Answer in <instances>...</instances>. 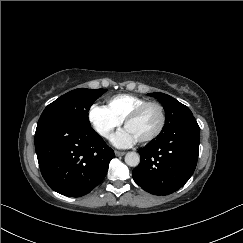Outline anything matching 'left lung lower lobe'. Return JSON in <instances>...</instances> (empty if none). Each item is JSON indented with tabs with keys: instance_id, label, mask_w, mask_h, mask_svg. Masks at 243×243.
Instances as JSON below:
<instances>
[{
	"instance_id": "1",
	"label": "left lung lower lobe",
	"mask_w": 243,
	"mask_h": 243,
	"mask_svg": "<svg viewBox=\"0 0 243 243\" xmlns=\"http://www.w3.org/2000/svg\"><path fill=\"white\" fill-rule=\"evenodd\" d=\"M199 143L200 128L194 117L161 132L139 150L141 161L132 171L134 181L151 194L175 192L195 170Z\"/></svg>"
}]
</instances>
